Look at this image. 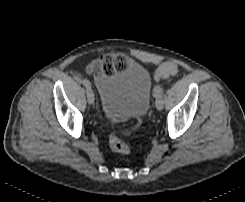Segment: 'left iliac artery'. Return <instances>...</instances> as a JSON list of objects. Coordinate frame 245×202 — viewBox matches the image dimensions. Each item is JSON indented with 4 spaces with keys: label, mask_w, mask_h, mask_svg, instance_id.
I'll return each instance as SVG.
<instances>
[{
    "label": "left iliac artery",
    "mask_w": 245,
    "mask_h": 202,
    "mask_svg": "<svg viewBox=\"0 0 245 202\" xmlns=\"http://www.w3.org/2000/svg\"><path fill=\"white\" fill-rule=\"evenodd\" d=\"M154 98L157 100L159 98L162 97V87L160 86H157L155 91H154V94H153Z\"/></svg>",
    "instance_id": "left-iliac-artery-1"
}]
</instances>
